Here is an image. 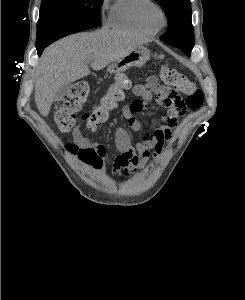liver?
<instances>
[{
	"label": "liver",
	"instance_id": "obj_1",
	"mask_svg": "<svg viewBox=\"0 0 245 300\" xmlns=\"http://www.w3.org/2000/svg\"><path fill=\"white\" fill-rule=\"evenodd\" d=\"M143 41L135 35L103 28L91 33L65 37L47 47L35 76V102L42 116L49 114L56 93L141 47Z\"/></svg>",
	"mask_w": 245,
	"mask_h": 300
}]
</instances>
